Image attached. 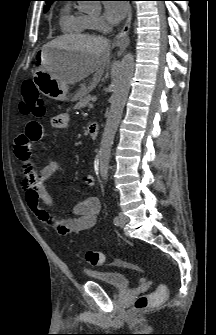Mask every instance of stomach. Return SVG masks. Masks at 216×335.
Listing matches in <instances>:
<instances>
[{"label": "stomach", "instance_id": "obj_1", "mask_svg": "<svg viewBox=\"0 0 216 335\" xmlns=\"http://www.w3.org/2000/svg\"><path fill=\"white\" fill-rule=\"evenodd\" d=\"M75 55L77 52L69 49L50 46L41 49V54H38L41 66L34 73L33 81L43 95L57 101H76L80 98L82 90L69 97L68 83L57 77L68 67Z\"/></svg>", "mask_w": 216, "mask_h": 335}]
</instances>
